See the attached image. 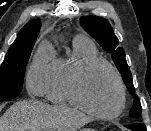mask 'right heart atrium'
Wrapping results in <instances>:
<instances>
[{
    "mask_svg": "<svg viewBox=\"0 0 151 131\" xmlns=\"http://www.w3.org/2000/svg\"><path fill=\"white\" fill-rule=\"evenodd\" d=\"M52 61L50 57L42 55H36L32 60L26 74V85L31 94H44Z\"/></svg>",
    "mask_w": 151,
    "mask_h": 131,
    "instance_id": "1",
    "label": "right heart atrium"
}]
</instances>
